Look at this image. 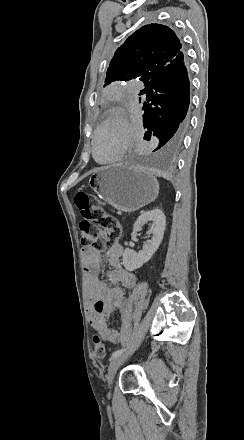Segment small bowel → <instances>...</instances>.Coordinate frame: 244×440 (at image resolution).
Wrapping results in <instances>:
<instances>
[{
	"mask_svg": "<svg viewBox=\"0 0 244 440\" xmlns=\"http://www.w3.org/2000/svg\"><path fill=\"white\" fill-rule=\"evenodd\" d=\"M123 253V245L114 242L104 256L92 247L84 248L82 254L87 279L89 323L105 341L111 344L119 342L120 333L111 327L106 319L115 310L122 314L131 311L132 305L126 296V291H132L137 283L135 274L122 266ZM103 260L110 267L104 277L100 273Z\"/></svg>",
	"mask_w": 244,
	"mask_h": 440,
	"instance_id": "obj_1",
	"label": "small bowel"
}]
</instances>
